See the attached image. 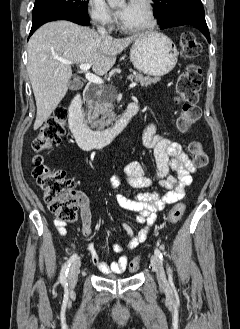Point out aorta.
I'll return each instance as SVG.
<instances>
[{
	"mask_svg": "<svg viewBox=\"0 0 240 329\" xmlns=\"http://www.w3.org/2000/svg\"><path fill=\"white\" fill-rule=\"evenodd\" d=\"M108 1V4L111 6V7H115L117 6L120 2H123L124 0H107Z\"/></svg>",
	"mask_w": 240,
	"mask_h": 329,
	"instance_id": "1",
	"label": "aorta"
}]
</instances>
